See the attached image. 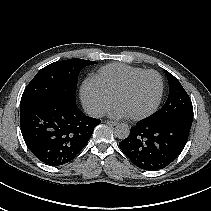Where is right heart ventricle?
<instances>
[{
  "label": "right heart ventricle",
  "mask_w": 211,
  "mask_h": 211,
  "mask_svg": "<svg viewBox=\"0 0 211 211\" xmlns=\"http://www.w3.org/2000/svg\"><path fill=\"white\" fill-rule=\"evenodd\" d=\"M144 70L140 67L113 63L100 68L92 78L109 94L113 95L129 78Z\"/></svg>",
  "instance_id": "obj_1"
}]
</instances>
